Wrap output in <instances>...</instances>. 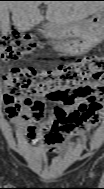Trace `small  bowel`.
I'll list each match as a JSON object with an SVG mask.
<instances>
[{
  "label": "small bowel",
  "instance_id": "small-bowel-1",
  "mask_svg": "<svg viewBox=\"0 0 104 189\" xmlns=\"http://www.w3.org/2000/svg\"><path fill=\"white\" fill-rule=\"evenodd\" d=\"M51 100L57 106L50 110L47 118H43L46 100L40 97L26 103H6V114L28 140H41L51 152L85 141L100 120L103 109L94 86L86 84L67 97Z\"/></svg>",
  "mask_w": 104,
  "mask_h": 189
}]
</instances>
